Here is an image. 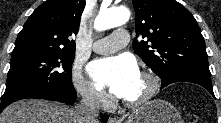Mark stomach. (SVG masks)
<instances>
[{
	"label": "stomach",
	"mask_w": 221,
	"mask_h": 123,
	"mask_svg": "<svg viewBox=\"0 0 221 123\" xmlns=\"http://www.w3.org/2000/svg\"><path fill=\"white\" fill-rule=\"evenodd\" d=\"M125 123H182V118L172 104L155 99L133 110Z\"/></svg>",
	"instance_id": "obj_1"
}]
</instances>
